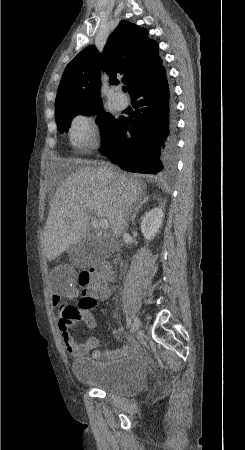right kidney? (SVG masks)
I'll return each mask as SVG.
<instances>
[{
	"label": "right kidney",
	"instance_id": "right-kidney-1",
	"mask_svg": "<svg viewBox=\"0 0 245 450\" xmlns=\"http://www.w3.org/2000/svg\"><path fill=\"white\" fill-rule=\"evenodd\" d=\"M163 217L164 213L159 208H154L145 214L141 222V231L146 240L150 241L154 238L162 226Z\"/></svg>",
	"mask_w": 245,
	"mask_h": 450
}]
</instances>
